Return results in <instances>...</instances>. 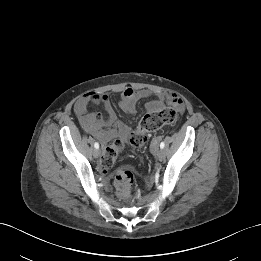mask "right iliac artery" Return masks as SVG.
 I'll list each match as a JSON object with an SVG mask.
<instances>
[{
  "label": "right iliac artery",
  "instance_id": "1",
  "mask_svg": "<svg viewBox=\"0 0 261 261\" xmlns=\"http://www.w3.org/2000/svg\"><path fill=\"white\" fill-rule=\"evenodd\" d=\"M94 147H95L96 149H99V144H98L97 142H95V143H94Z\"/></svg>",
  "mask_w": 261,
  "mask_h": 261
}]
</instances>
